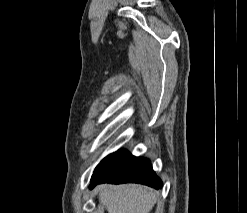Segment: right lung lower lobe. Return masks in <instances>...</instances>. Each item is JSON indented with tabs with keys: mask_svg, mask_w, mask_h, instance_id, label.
<instances>
[{
	"mask_svg": "<svg viewBox=\"0 0 247 213\" xmlns=\"http://www.w3.org/2000/svg\"><path fill=\"white\" fill-rule=\"evenodd\" d=\"M97 176L91 180L90 189L101 183H139L155 189L162 187L161 180L155 175L151 163L146 158L132 156L126 150L107 156L98 165Z\"/></svg>",
	"mask_w": 247,
	"mask_h": 213,
	"instance_id": "1",
	"label": "right lung lower lobe"
}]
</instances>
